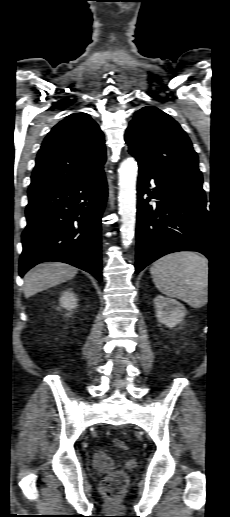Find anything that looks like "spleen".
<instances>
[{"label": "spleen", "instance_id": "obj_1", "mask_svg": "<svg viewBox=\"0 0 230 517\" xmlns=\"http://www.w3.org/2000/svg\"><path fill=\"white\" fill-rule=\"evenodd\" d=\"M150 273L155 286L169 297L194 308L208 301V261L194 252H177L153 263Z\"/></svg>", "mask_w": 230, "mask_h": 517}]
</instances>
